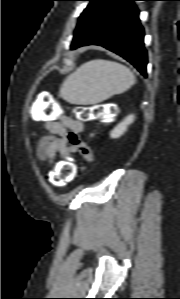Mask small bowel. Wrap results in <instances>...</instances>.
<instances>
[{
  "label": "small bowel",
  "mask_w": 180,
  "mask_h": 299,
  "mask_svg": "<svg viewBox=\"0 0 180 299\" xmlns=\"http://www.w3.org/2000/svg\"><path fill=\"white\" fill-rule=\"evenodd\" d=\"M48 134L40 139L36 155L40 162L52 164L59 155L65 160H71L76 155L90 162L93 160L92 150L80 140L79 134L84 130V124L67 115L45 121Z\"/></svg>",
  "instance_id": "c3829d8e"
}]
</instances>
